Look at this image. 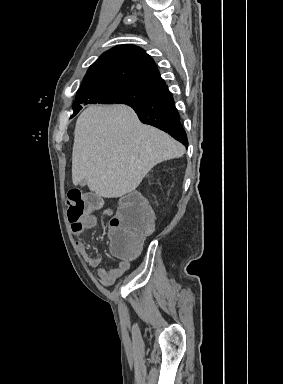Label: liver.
I'll list each match as a JSON object with an SVG mask.
<instances>
[{
    "label": "liver",
    "instance_id": "6515ba94",
    "mask_svg": "<svg viewBox=\"0 0 283 384\" xmlns=\"http://www.w3.org/2000/svg\"><path fill=\"white\" fill-rule=\"evenodd\" d=\"M185 146L141 124L124 104L89 106L74 132L72 182H86L102 198H121L138 188L160 162L182 158Z\"/></svg>",
    "mask_w": 283,
    "mask_h": 384
}]
</instances>
